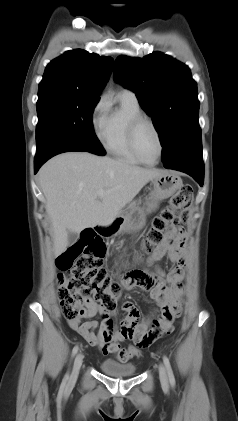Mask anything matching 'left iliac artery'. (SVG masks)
Masks as SVG:
<instances>
[{
	"mask_svg": "<svg viewBox=\"0 0 238 421\" xmlns=\"http://www.w3.org/2000/svg\"><path fill=\"white\" fill-rule=\"evenodd\" d=\"M163 361H164V364H165V366L167 368V371H168L170 384H171L172 387H174L175 386V377H174V374H173V371H172V368H171L170 361L166 356L163 357Z\"/></svg>",
	"mask_w": 238,
	"mask_h": 421,
	"instance_id": "obj_1",
	"label": "left iliac artery"
}]
</instances>
